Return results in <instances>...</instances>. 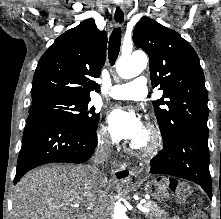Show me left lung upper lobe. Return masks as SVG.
<instances>
[{
	"mask_svg": "<svg viewBox=\"0 0 221 219\" xmlns=\"http://www.w3.org/2000/svg\"><path fill=\"white\" fill-rule=\"evenodd\" d=\"M133 41L149 56L153 88L160 85L163 90V96L153 102L163 141L187 128L208 133V95L192 46L177 32L148 17L136 24Z\"/></svg>",
	"mask_w": 221,
	"mask_h": 219,
	"instance_id": "left-lung-upper-lobe-1",
	"label": "left lung upper lobe"
}]
</instances>
